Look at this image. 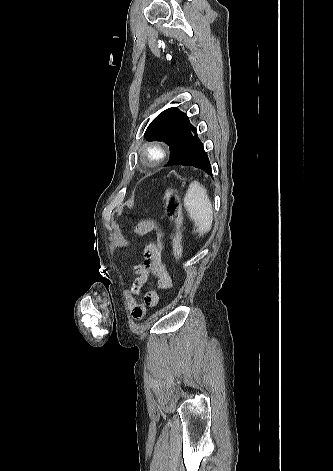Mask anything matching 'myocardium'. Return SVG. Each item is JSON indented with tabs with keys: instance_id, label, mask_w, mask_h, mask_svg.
Masks as SVG:
<instances>
[{
	"instance_id": "f54148a6",
	"label": "myocardium",
	"mask_w": 333,
	"mask_h": 471,
	"mask_svg": "<svg viewBox=\"0 0 333 471\" xmlns=\"http://www.w3.org/2000/svg\"><path fill=\"white\" fill-rule=\"evenodd\" d=\"M163 158V151L157 145H149L145 150V160L151 165L159 163Z\"/></svg>"
}]
</instances>
